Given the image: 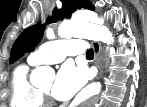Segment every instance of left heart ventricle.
Masks as SVG:
<instances>
[{
    "label": "left heart ventricle",
    "mask_w": 147,
    "mask_h": 107,
    "mask_svg": "<svg viewBox=\"0 0 147 107\" xmlns=\"http://www.w3.org/2000/svg\"><path fill=\"white\" fill-rule=\"evenodd\" d=\"M40 88L50 93L53 88V80L45 82L44 84L41 85Z\"/></svg>",
    "instance_id": "left-heart-ventricle-1"
}]
</instances>
